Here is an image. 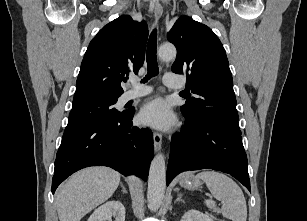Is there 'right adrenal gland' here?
Masks as SVG:
<instances>
[{"label": "right adrenal gland", "mask_w": 307, "mask_h": 221, "mask_svg": "<svg viewBox=\"0 0 307 221\" xmlns=\"http://www.w3.org/2000/svg\"><path fill=\"white\" fill-rule=\"evenodd\" d=\"M122 192H123V193H126V192H127V190H126V188H125L124 186H122Z\"/></svg>", "instance_id": "2a0ac1e0"}]
</instances>
